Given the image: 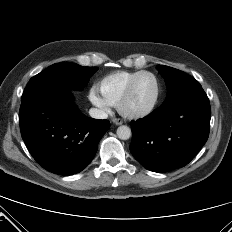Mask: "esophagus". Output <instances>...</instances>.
I'll use <instances>...</instances> for the list:
<instances>
[{"mask_svg": "<svg viewBox=\"0 0 232 232\" xmlns=\"http://www.w3.org/2000/svg\"><path fill=\"white\" fill-rule=\"evenodd\" d=\"M112 121L116 125H121L123 123V121L119 118H113Z\"/></svg>", "mask_w": 232, "mask_h": 232, "instance_id": "34e87169", "label": "esophagus"}]
</instances>
